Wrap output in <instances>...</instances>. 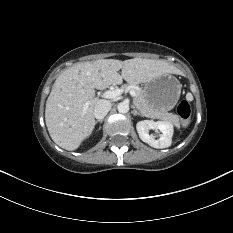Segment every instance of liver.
I'll return each mask as SVG.
<instances>
[{
    "label": "liver",
    "mask_w": 233,
    "mask_h": 233,
    "mask_svg": "<svg viewBox=\"0 0 233 233\" xmlns=\"http://www.w3.org/2000/svg\"><path fill=\"white\" fill-rule=\"evenodd\" d=\"M179 73L178 68L164 60L99 59L78 63L58 76L46 101L45 122L49 134L61 148L76 150L95 126L94 108L99 99L94 97V89L121 84L123 79L130 85H138L165 74Z\"/></svg>",
    "instance_id": "obj_1"
}]
</instances>
